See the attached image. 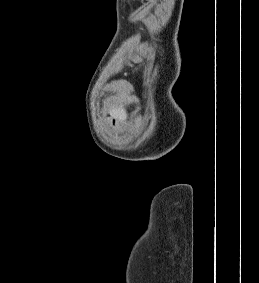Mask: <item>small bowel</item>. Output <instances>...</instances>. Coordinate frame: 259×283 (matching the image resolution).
Returning <instances> with one entry per match:
<instances>
[{"instance_id":"c3829d8e","label":"small bowel","mask_w":259,"mask_h":283,"mask_svg":"<svg viewBox=\"0 0 259 283\" xmlns=\"http://www.w3.org/2000/svg\"><path fill=\"white\" fill-rule=\"evenodd\" d=\"M111 126L116 133H122L123 132V128L120 125L112 124Z\"/></svg>"}]
</instances>
